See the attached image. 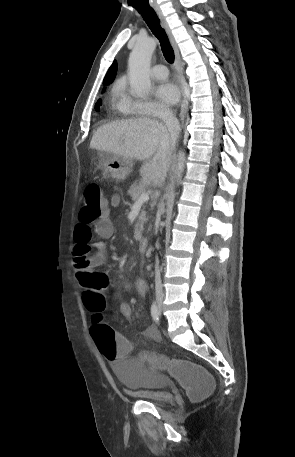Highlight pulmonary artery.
Returning a JSON list of instances; mask_svg holds the SVG:
<instances>
[{
  "label": "pulmonary artery",
  "instance_id": "pulmonary-artery-1",
  "mask_svg": "<svg viewBox=\"0 0 295 457\" xmlns=\"http://www.w3.org/2000/svg\"><path fill=\"white\" fill-rule=\"evenodd\" d=\"M151 74L156 79H165L168 77V70L166 66L158 64L152 67Z\"/></svg>",
  "mask_w": 295,
  "mask_h": 457
}]
</instances>
